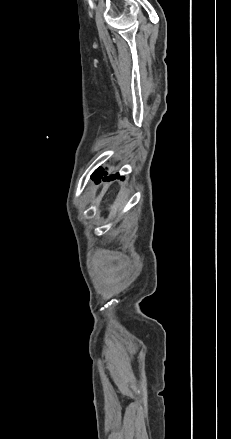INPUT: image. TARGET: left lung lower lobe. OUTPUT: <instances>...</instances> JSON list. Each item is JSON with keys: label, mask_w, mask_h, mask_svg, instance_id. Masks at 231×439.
Wrapping results in <instances>:
<instances>
[{"label": "left lung lower lobe", "mask_w": 231, "mask_h": 439, "mask_svg": "<svg viewBox=\"0 0 231 439\" xmlns=\"http://www.w3.org/2000/svg\"><path fill=\"white\" fill-rule=\"evenodd\" d=\"M107 174V172H104V169L102 167H99L98 169L95 170V172L91 175V178L95 181H98L99 179L102 178V175ZM116 178H120V179H124L123 176H119L118 173L116 174H112L110 175V177H107V179L104 178V180L110 181V180H114ZM100 182V180L98 181Z\"/></svg>", "instance_id": "obj_1"}]
</instances>
